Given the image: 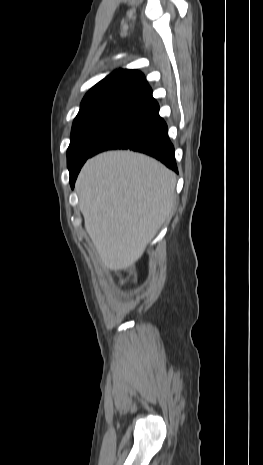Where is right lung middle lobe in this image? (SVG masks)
Segmentation results:
<instances>
[{
  "instance_id": "dd1d6c3e",
  "label": "right lung middle lobe",
  "mask_w": 263,
  "mask_h": 465,
  "mask_svg": "<svg viewBox=\"0 0 263 465\" xmlns=\"http://www.w3.org/2000/svg\"><path fill=\"white\" fill-rule=\"evenodd\" d=\"M136 100L109 99L80 107L71 132L67 151L69 172L81 167L91 157L101 139L136 104Z\"/></svg>"
}]
</instances>
